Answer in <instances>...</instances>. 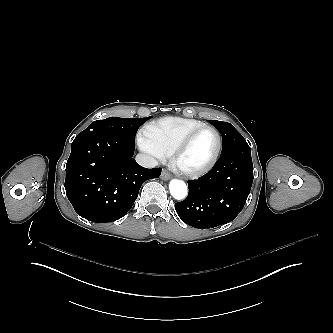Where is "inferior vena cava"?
<instances>
[{"mask_svg":"<svg viewBox=\"0 0 333 333\" xmlns=\"http://www.w3.org/2000/svg\"><path fill=\"white\" fill-rule=\"evenodd\" d=\"M136 160L141 166H143L145 168H154V167L158 166L157 160L150 157L147 154L142 153V154L137 155Z\"/></svg>","mask_w":333,"mask_h":333,"instance_id":"602c4592","label":"inferior vena cava"}]
</instances>
